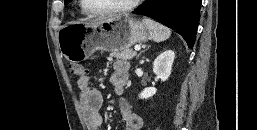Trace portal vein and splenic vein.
I'll return each mask as SVG.
<instances>
[{
	"instance_id": "18ae733b",
	"label": "portal vein and splenic vein",
	"mask_w": 257,
	"mask_h": 130,
	"mask_svg": "<svg viewBox=\"0 0 257 130\" xmlns=\"http://www.w3.org/2000/svg\"><path fill=\"white\" fill-rule=\"evenodd\" d=\"M140 49H141L140 46H136V47H135V50H136V51H139Z\"/></svg>"
}]
</instances>
